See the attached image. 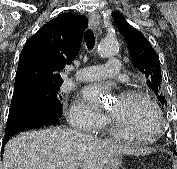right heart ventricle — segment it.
Returning <instances> with one entry per match:
<instances>
[{"label":"right heart ventricle","mask_w":177,"mask_h":169,"mask_svg":"<svg viewBox=\"0 0 177 169\" xmlns=\"http://www.w3.org/2000/svg\"><path fill=\"white\" fill-rule=\"evenodd\" d=\"M106 133H107L110 137H112V138H124L121 134H119L118 132H116L112 126H109V127L106 129ZM141 142L150 143V142H148V141H141Z\"/></svg>","instance_id":"1"}]
</instances>
